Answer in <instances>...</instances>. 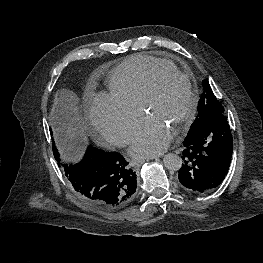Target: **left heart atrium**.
<instances>
[{"label":"left heart atrium","mask_w":263,"mask_h":263,"mask_svg":"<svg viewBox=\"0 0 263 263\" xmlns=\"http://www.w3.org/2000/svg\"><path fill=\"white\" fill-rule=\"evenodd\" d=\"M172 136L164 124L147 117L132 140L130 153L136 159L158 155L168 147Z\"/></svg>","instance_id":"left-heart-atrium-1"}]
</instances>
